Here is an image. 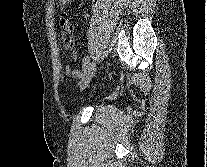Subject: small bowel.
<instances>
[{
    "mask_svg": "<svg viewBox=\"0 0 207 167\" xmlns=\"http://www.w3.org/2000/svg\"><path fill=\"white\" fill-rule=\"evenodd\" d=\"M73 2V0H59V5L61 8H65L67 6H69L71 3ZM61 25L63 27V29L66 32H72L73 31V26L65 19L61 20ZM61 39L63 40V46L64 49L67 51H71V56L74 60L78 59V53L76 50H74V45H75V38L74 36H71L69 39H66L64 34H61ZM86 56H82V60L83 62L86 60ZM64 72L66 75L68 76H72L75 78H80L82 76V72L78 69L72 68L70 66H66L64 68Z\"/></svg>",
    "mask_w": 207,
    "mask_h": 167,
    "instance_id": "small-bowel-1",
    "label": "small bowel"
}]
</instances>
